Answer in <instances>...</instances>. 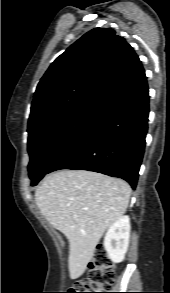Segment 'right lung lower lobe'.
<instances>
[{"instance_id":"98d812e1","label":"right lung lower lobe","mask_w":170,"mask_h":293,"mask_svg":"<svg viewBox=\"0 0 170 293\" xmlns=\"http://www.w3.org/2000/svg\"><path fill=\"white\" fill-rule=\"evenodd\" d=\"M149 93L146 79L106 102L92 124L51 165L88 170L126 180L135 189L148 130Z\"/></svg>"}]
</instances>
